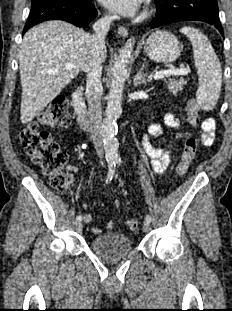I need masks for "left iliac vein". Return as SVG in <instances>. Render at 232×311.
Masks as SVG:
<instances>
[{"mask_svg": "<svg viewBox=\"0 0 232 311\" xmlns=\"http://www.w3.org/2000/svg\"><path fill=\"white\" fill-rule=\"evenodd\" d=\"M150 229H151V224H150V222H145V223H144V226H143V230H144L145 232H148V231H150Z\"/></svg>", "mask_w": 232, "mask_h": 311, "instance_id": "obj_1", "label": "left iliac vein"}]
</instances>
